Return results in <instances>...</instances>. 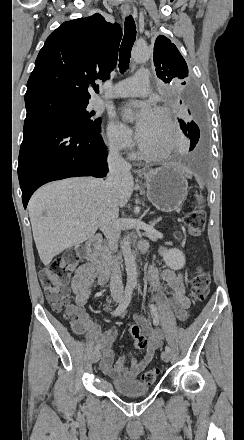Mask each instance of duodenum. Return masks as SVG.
<instances>
[{"label": "duodenum", "instance_id": "obj_1", "mask_svg": "<svg viewBox=\"0 0 244 440\" xmlns=\"http://www.w3.org/2000/svg\"><path fill=\"white\" fill-rule=\"evenodd\" d=\"M101 247V238L98 236L92 237L86 243L85 255L92 265L108 273L115 269V258L103 253Z\"/></svg>", "mask_w": 244, "mask_h": 440}]
</instances>
